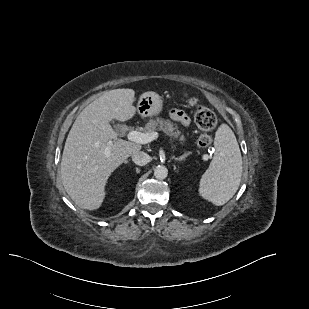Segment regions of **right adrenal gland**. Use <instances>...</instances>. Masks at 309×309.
<instances>
[{"mask_svg": "<svg viewBox=\"0 0 309 309\" xmlns=\"http://www.w3.org/2000/svg\"><path fill=\"white\" fill-rule=\"evenodd\" d=\"M124 163H125V164H128V163H129V161H128V160H125V161H124Z\"/></svg>", "mask_w": 309, "mask_h": 309, "instance_id": "obj_1", "label": "right adrenal gland"}]
</instances>
